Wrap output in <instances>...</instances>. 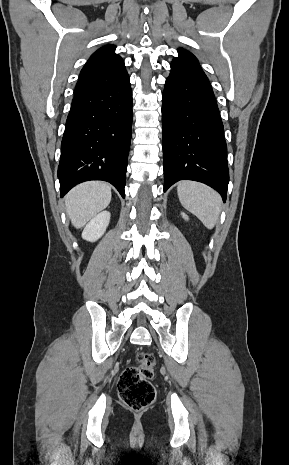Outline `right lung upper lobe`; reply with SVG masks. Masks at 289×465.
Here are the masks:
<instances>
[{"instance_id":"obj_1","label":"right lung upper lobe","mask_w":289,"mask_h":465,"mask_svg":"<svg viewBox=\"0 0 289 465\" xmlns=\"http://www.w3.org/2000/svg\"><path fill=\"white\" fill-rule=\"evenodd\" d=\"M125 76L124 61L115 54V46H104L94 52L82 68L74 95L113 86Z\"/></svg>"}]
</instances>
